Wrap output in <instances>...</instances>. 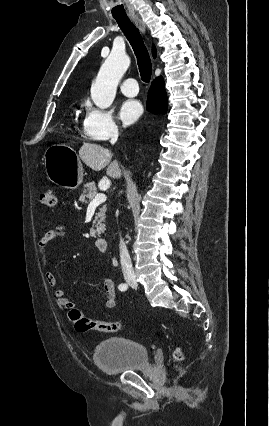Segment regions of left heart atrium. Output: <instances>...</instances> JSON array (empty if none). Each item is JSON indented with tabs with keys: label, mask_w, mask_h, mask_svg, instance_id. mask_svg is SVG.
Wrapping results in <instances>:
<instances>
[{
	"label": "left heart atrium",
	"mask_w": 269,
	"mask_h": 426,
	"mask_svg": "<svg viewBox=\"0 0 269 426\" xmlns=\"http://www.w3.org/2000/svg\"><path fill=\"white\" fill-rule=\"evenodd\" d=\"M143 108L138 100H125L119 109V119L124 125H130L136 122L142 115Z\"/></svg>",
	"instance_id": "obj_1"
}]
</instances>
